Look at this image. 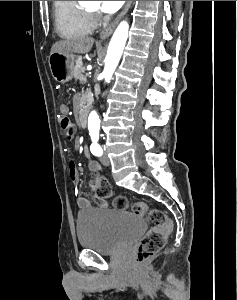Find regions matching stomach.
Returning <instances> with one entry per match:
<instances>
[{
    "instance_id": "1",
    "label": "stomach",
    "mask_w": 237,
    "mask_h": 300,
    "mask_svg": "<svg viewBox=\"0 0 237 300\" xmlns=\"http://www.w3.org/2000/svg\"><path fill=\"white\" fill-rule=\"evenodd\" d=\"M48 63L52 77L58 83H68L73 79L75 57L71 53H52Z\"/></svg>"
}]
</instances>
